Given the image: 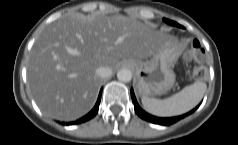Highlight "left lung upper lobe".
Listing matches in <instances>:
<instances>
[{"label": "left lung upper lobe", "instance_id": "left-lung-upper-lobe-1", "mask_svg": "<svg viewBox=\"0 0 238 145\" xmlns=\"http://www.w3.org/2000/svg\"><path fill=\"white\" fill-rule=\"evenodd\" d=\"M164 21H165L166 23L170 24V25H173V26H179V24L176 23V22H174V21H170V20L165 19V18H164Z\"/></svg>", "mask_w": 238, "mask_h": 145}]
</instances>
